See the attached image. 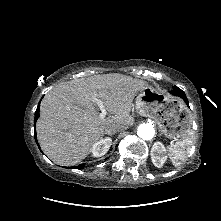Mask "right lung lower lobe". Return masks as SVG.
Segmentation results:
<instances>
[{
	"label": "right lung lower lobe",
	"instance_id": "98d812e1",
	"mask_svg": "<svg viewBox=\"0 0 221 221\" xmlns=\"http://www.w3.org/2000/svg\"><path fill=\"white\" fill-rule=\"evenodd\" d=\"M39 108H40V106H39V104H38V107H37V109H36V112H35V118H34V126H35V123H36V121H37V119L39 118ZM35 134H36V132H35ZM35 138H36V135H35ZM36 140V139H35ZM36 143L38 144V142H37V140H36ZM38 147H39V145H38ZM40 148V147H39ZM73 167H70V169H72ZM75 169H82V168H84V164H80V165H78V166H76V167H74Z\"/></svg>",
	"mask_w": 221,
	"mask_h": 221
}]
</instances>
